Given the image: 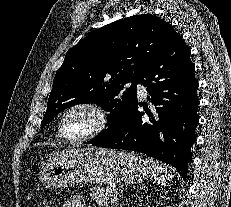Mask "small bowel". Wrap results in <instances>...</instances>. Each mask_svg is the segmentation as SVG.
<instances>
[{"label":"small bowel","mask_w":231,"mask_h":207,"mask_svg":"<svg viewBox=\"0 0 231 207\" xmlns=\"http://www.w3.org/2000/svg\"><path fill=\"white\" fill-rule=\"evenodd\" d=\"M62 207H92L87 205L85 199L82 196L74 195L65 201Z\"/></svg>","instance_id":"1"}]
</instances>
